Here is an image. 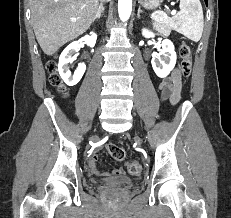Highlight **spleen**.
<instances>
[{
  "label": "spleen",
  "instance_id": "1",
  "mask_svg": "<svg viewBox=\"0 0 231 218\" xmlns=\"http://www.w3.org/2000/svg\"><path fill=\"white\" fill-rule=\"evenodd\" d=\"M180 12L170 18L163 11H155L152 18L163 24H167L188 39L197 42L203 32V10L199 0H180Z\"/></svg>",
  "mask_w": 231,
  "mask_h": 218
}]
</instances>
